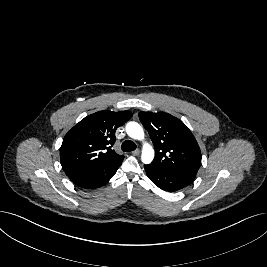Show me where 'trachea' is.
Segmentation results:
<instances>
[{
	"mask_svg": "<svg viewBox=\"0 0 267 267\" xmlns=\"http://www.w3.org/2000/svg\"><path fill=\"white\" fill-rule=\"evenodd\" d=\"M121 149L124 152H130L136 149V144L131 140H126L122 143Z\"/></svg>",
	"mask_w": 267,
	"mask_h": 267,
	"instance_id": "obj_1",
	"label": "trachea"
}]
</instances>
